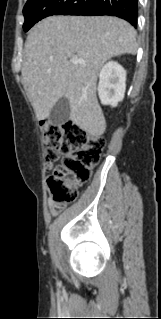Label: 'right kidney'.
<instances>
[{"label": "right kidney", "mask_w": 161, "mask_h": 319, "mask_svg": "<svg viewBox=\"0 0 161 319\" xmlns=\"http://www.w3.org/2000/svg\"><path fill=\"white\" fill-rule=\"evenodd\" d=\"M126 71L117 62L106 63L99 73L98 95L103 105L117 106L124 98Z\"/></svg>", "instance_id": "right-kidney-1"}]
</instances>
